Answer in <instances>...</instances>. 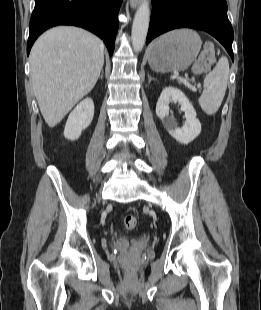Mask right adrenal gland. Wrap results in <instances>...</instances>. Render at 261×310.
<instances>
[{
    "label": "right adrenal gland",
    "instance_id": "1",
    "mask_svg": "<svg viewBox=\"0 0 261 310\" xmlns=\"http://www.w3.org/2000/svg\"><path fill=\"white\" fill-rule=\"evenodd\" d=\"M100 78L103 79V69H102V71H101Z\"/></svg>",
    "mask_w": 261,
    "mask_h": 310
}]
</instances>
